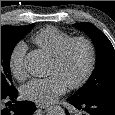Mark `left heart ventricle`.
<instances>
[{"instance_id": "b2bd125f", "label": "left heart ventricle", "mask_w": 115, "mask_h": 115, "mask_svg": "<svg viewBox=\"0 0 115 115\" xmlns=\"http://www.w3.org/2000/svg\"><path fill=\"white\" fill-rule=\"evenodd\" d=\"M88 51L84 45L78 44L72 48L65 63L61 66L52 62L49 75H58L68 85L79 80L88 66Z\"/></svg>"}]
</instances>
